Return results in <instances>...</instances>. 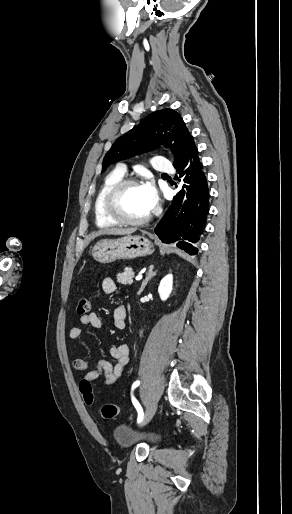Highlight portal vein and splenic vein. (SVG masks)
I'll return each instance as SVG.
<instances>
[{
	"label": "portal vein and splenic vein",
	"mask_w": 292,
	"mask_h": 514,
	"mask_svg": "<svg viewBox=\"0 0 292 514\" xmlns=\"http://www.w3.org/2000/svg\"><path fill=\"white\" fill-rule=\"evenodd\" d=\"M135 280H142V274H139V276H136Z\"/></svg>",
	"instance_id": "portal-vein-and-splenic-vein-1"
}]
</instances>
